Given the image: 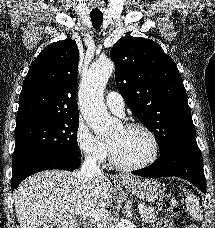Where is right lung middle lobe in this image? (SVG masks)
<instances>
[{"label": "right lung middle lobe", "instance_id": "obj_1", "mask_svg": "<svg viewBox=\"0 0 215 228\" xmlns=\"http://www.w3.org/2000/svg\"><path fill=\"white\" fill-rule=\"evenodd\" d=\"M79 116L36 119L16 124L12 163L39 153L80 157L77 143Z\"/></svg>", "mask_w": 215, "mask_h": 228}]
</instances>
